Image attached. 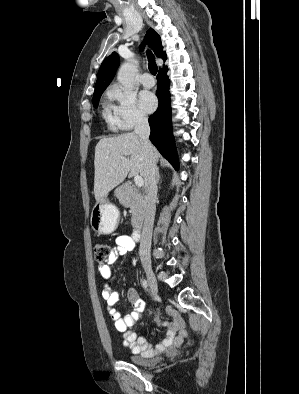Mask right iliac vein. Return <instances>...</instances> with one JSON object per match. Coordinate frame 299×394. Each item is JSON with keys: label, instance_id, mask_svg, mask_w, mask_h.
Returning <instances> with one entry per match:
<instances>
[{"label": "right iliac vein", "instance_id": "obj_1", "mask_svg": "<svg viewBox=\"0 0 299 394\" xmlns=\"http://www.w3.org/2000/svg\"><path fill=\"white\" fill-rule=\"evenodd\" d=\"M143 267H144V270H145V273L147 276V281H148L151 292L153 294H157L158 284H157L155 274L152 270V266L150 264H145Z\"/></svg>", "mask_w": 299, "mask_h": 394}]
</instances>
